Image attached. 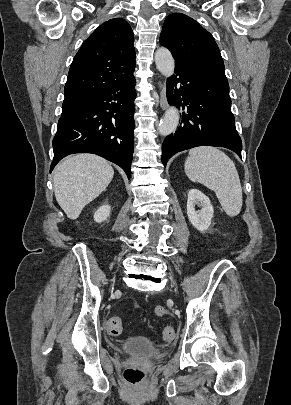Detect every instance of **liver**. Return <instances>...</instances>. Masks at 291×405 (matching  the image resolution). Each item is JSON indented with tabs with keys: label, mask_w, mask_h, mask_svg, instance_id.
Wrapping results in <instances>:
<instances>
[{
	"label": "liver",
	"mask_w": 291,
	"mask_h": 405,
	"mask_svg": "<svg viewBox=\"0 0 291 405\" xmlns=\"http://www.w3.org/2000/svg\"><path fill=\"white\" fill-rule=\"evenodd\" d=\"M114 175L111 165L94 154H76L62 160L54 170L55 197L67 217L75 220L97 198Z\"/></svg>",
	"instance_id": "6515ba94"
}]
</instances>
